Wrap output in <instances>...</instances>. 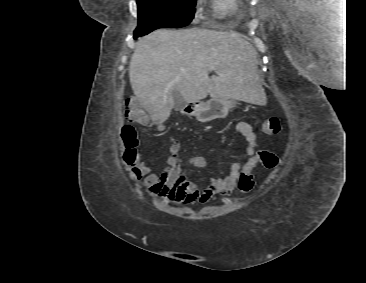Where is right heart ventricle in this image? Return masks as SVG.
<instances>
[{"label": "right heart ventricle", "mask_w": 366, "mask_h": 283, "mask_svg": "<svg viewBox=\"0 0 366 283\" xmlns=\"http://www.w3.org/2000/svg\"><path fill=\"white\" fill-rule=\"evenodd\" d=\"M213 8L218 16L224 17L239 9V0H213Z\"/></svg>", "instance_id": "1"}]
</instances>
